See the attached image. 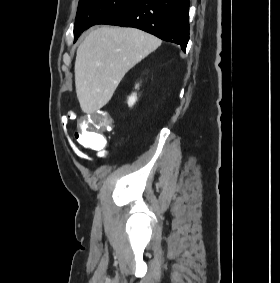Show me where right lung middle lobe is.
<instances>
[{
    "mask_svg": "<svg viewBox=\"0 0 280 283\" xmlns=\"http://www.w3.org/2000/svg\"><path fill=\"white\" fill-rule=\"evenodd\" d=\"M133 0H80L74 24V42L89 27L99 24Z\"/></svg>",
    "mask_w": 280,
    "mask_h": 283,
    "instance_id": "dd1d6c3e",
    "label": "right lung middle lobe"
}]
</instances>
